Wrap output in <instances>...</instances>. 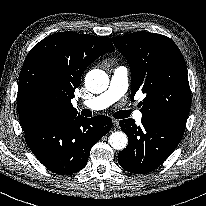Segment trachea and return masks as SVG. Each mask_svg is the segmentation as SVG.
<instances>
[{"label": "trachea", "instance_id": "1", "mask_svg": "<svg viewBox=\"0 0 206 206\" xmlns=\"http://www.w3.org/2000/svg\"><path fill=\"white\" fill-rule=\"evenodd\" d=\"M82 115L86 116V117H91L92 116V112L88 109H83L82 110ZM130 115V112L127 110H122V111H118L114 113V118L116 119H123V118H127Z\"/></svg>", "mask_w": 206, "mask_h": 206}]
</instances>
